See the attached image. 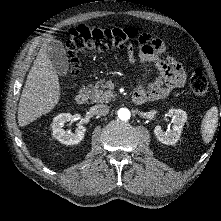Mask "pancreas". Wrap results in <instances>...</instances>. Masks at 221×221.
I'll list each match as a JSON object with an SVG mask.
<instances>
[{"mask_svg": "<svg viewBox=\"0 0 221 221\" xmlns=\"http://www.w3.org/2000/svg\"><path fill=\"white\" fill-rule=\"evenodd\" d=\"M90 92V99L94 103H108L115 98L112 91L106 90L104 80L88 85Z\"/></svg>", "mask_w": 221, "mask_h": 221, "instance_id": "1", "label": "pancreas"}]
</instances>
